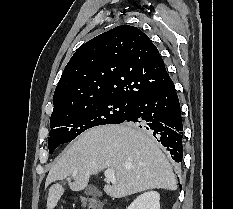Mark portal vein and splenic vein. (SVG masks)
Wrapping results in <instances>:
<instances>
[{"label": "portal vein and splenic vein", "mask_w": 233, "mask_h": 209, "mask_svg": "<svg viewBox=\"0 0 233 209\" xmlns=\"http://www.w3.org/2000/svg\"><path fill=\"white\" fill-rule=\"evenodd\" d=\"M104 175L107 180L111 181L113 184L116 183L115 172L113 169H107Z\"/></svg>", "instance_id": "portal-vein-and-splenic-vein-1"}]
</instances>
